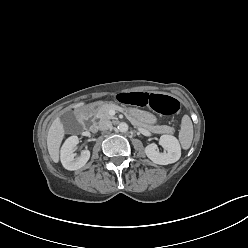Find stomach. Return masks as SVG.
I'll return each instance as SVG.
<instances>
[{"label": "stomach", "instance_id": "0dacf381", "mask_svg": "<svg viewBox=\"0 0 248 248\" xmlns=\"http://www.w3.org/2000/svg\"><path fill=\"white\" fill-rule=\"evenodd\" d=\"M103 105H111L113 107H118L122 111L127 112L130 118H137L140 121L145 122V123L153 124L156 122V118L154 117V115H152L148 112L139 111V110L135 111L134 109H130V108L124 106L122 103L111 101V100L98 101V102L94 103L93 105H91L90 109L94 110V109H96L100 106H103Z\"/></svg>", "mask_w": 248, "mask_h": 248}]
</instances>
